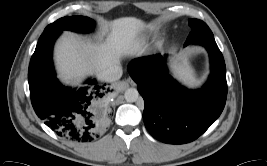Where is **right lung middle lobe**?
Returning a JSON list of instances; mask_svg holds the SVG:
<instances>
[{
    "instance_id": "right-lung-middle-lobe-1",
    "label": "right lung middle lobe",
    "mask_w": 267,
    "mask_h": 166,
    "mask_svg": "<svg viewBox=\"0 0 267 166\" xmlns=\"http://www.w3.org/2000/svg\"><path fill=\"white\" fill-rule=\"evenodd\" d=\"M95 23L92 19L84 16H71L58 19L52 24H49L46 30H71L75 32H90Z\"/></svg>"
}]
</instances>
